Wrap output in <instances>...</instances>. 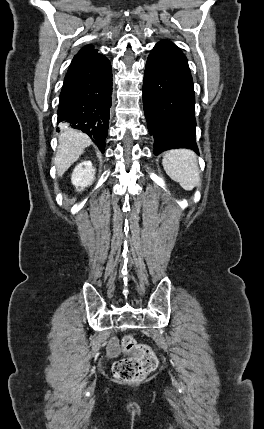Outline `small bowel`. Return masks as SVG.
I'll return each instance as SVG.
<instances>
[{
  "mask_svg": "<svg viewBox=\"0 0 264 429\" xmlns=\"http://www.w3.org/2000/svg\"><path fill=\"white\" fill-rule=\"evenodd\" d=\"M108 352L111 356H116L119 352V345L116 338L110 339L108 343Z\"/></svg>",
  "mask_w": 264,
  "mask_h": 429,
  "instance_id": "obj_1",
  "label": "small bowel"
}]
</instances>
